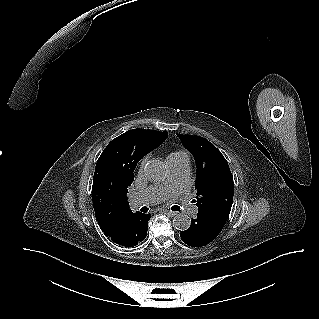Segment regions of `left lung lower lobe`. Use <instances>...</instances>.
Listing matches in <instances>:
<instances>
[{"mask_svg": "<svg viewBox=\"0 0 319 319\" xmlns=\"http://www.w3.org/2000/svg\"><path fill=\"white\" fill-rule=\"evenodd\" d=\"M230 209L215 208L198 211L189 229L181 232L182 241L191 247H202L214 240L224 227Z\"/></svg>", "mask_w": 319, "mask_h": 319, "instance_id": "1", "label": "left lung lower lobe"}]
</instances>
